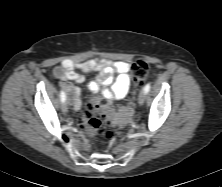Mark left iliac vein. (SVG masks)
<instances>
[{
	"label": "left iliac vein",
	"mask_w": 222,
	"mask_h": 187,
	"mask_svg": "<svg viewBox=\"0 0 222 187\" xmlns=\"http://www.w3.org/2000/svg\"><path fill=\"white\" fill-rule=\"evenodd\" d=\"M146 99V92L145 91H141L139 96H138V103L139 105H143V103L145 102Z\"/></svg>",
	"instance_id": "4c4485c4"
}]
</instances>
